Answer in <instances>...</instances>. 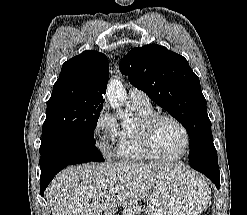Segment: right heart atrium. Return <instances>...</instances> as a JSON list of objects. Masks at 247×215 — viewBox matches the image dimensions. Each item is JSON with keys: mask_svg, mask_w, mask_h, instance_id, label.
I'll return each instance as SVG.
<instances>
[{"mask_svg": "<svg viewBox=\"0 0 247 215\" xmlns=\"http://www.w3.org/2000/svg\"><path fill=\"white\" fill-rule=\"evenodd\" d=\"M93 132L97 140L99 150L105 156L115 154V144L119 140L120 128L106 106L97 113Z\"/></svg>", "mask_w": 247, "mask_h": 215, "instance_id": "right-heart-atrium-1", "label": "right heart atrium"}]
</instances>
